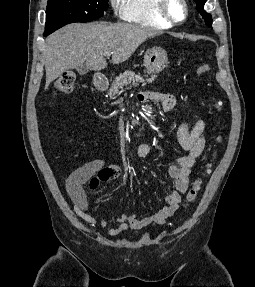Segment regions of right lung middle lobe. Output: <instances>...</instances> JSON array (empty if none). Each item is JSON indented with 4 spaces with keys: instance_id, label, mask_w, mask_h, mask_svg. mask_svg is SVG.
Wrapping results in <instances>:
<instances>
[{
    "instance_id": "dd1d6c3e",
    "label": "right lung middle lobe",
    "mask_w": 255,
    "mask_h": 287,
    "mask_svg": "<svg viewBox=\"0 0 255 287\" xmlns=\"http://www.w3.org/2000/svg\"><path fill=\"white\" fill-rule=\"evenodd\" d=\"M109 0H48L44 33H52L66 24L89 22L103 16Z\"/></svg>"
}]
</instances>
